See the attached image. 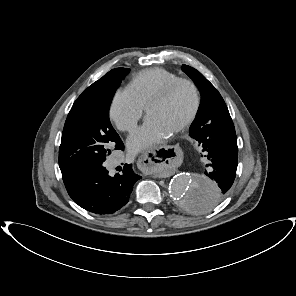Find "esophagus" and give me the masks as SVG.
I'll return each instance as SVG.
<instances>
[{
	"instance_id": "1",
	"label": "esophagus",
	"mask_w": 296,
	"mask_h": 296,
	"mask_svg": "<svg viewBox=\"0 0 296 296\" xmlns=\"http://www.w3.org/2000/svg\"><path fill=\"white\" fill-rule=\"evenodd\" d=\"M182 160L183 151L181 148L162 142L156 147L140 153L136 157L135 163L141 173L149 174L168 171L173 165L181 163Z\"/></svg>"
}]
</instances>
